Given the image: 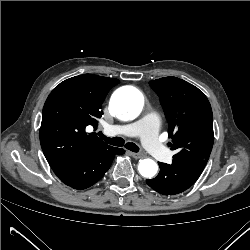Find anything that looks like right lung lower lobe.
Masks as SVG:
<instances>
[{
  "instance_id": "1",
  "label": "right lung lower lobe",
  "mask_w": 250,
  "mask_h": 250,
  "mask_svg": "<svg viewBox=\"0 0 250 250\" xmlns=\"http://www.w3.org/2000/svg\"><path fill=\"white\" fill-rule=\"evenodd\" d=\"M124 152L123 149L109 146L93 152L78 164L52 170L63 183L82 190L100 180L110 168L114 157Z\"/></svg>"
}]
</instances>
